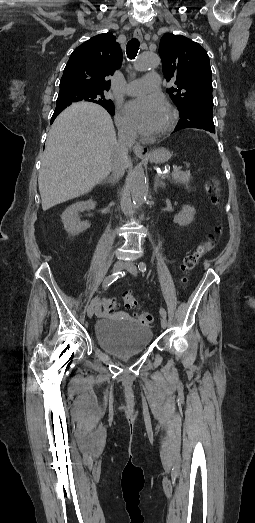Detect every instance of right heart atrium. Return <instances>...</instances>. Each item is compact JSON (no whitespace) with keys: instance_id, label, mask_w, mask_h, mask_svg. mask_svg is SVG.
<instances>
[{"instance_id":"right-heart-atrium-1","label":"right heart atrium","mask_w":255,"mask_h":523,"mask_svg":"<svg viewBox=\"0 0 255 523\" xmlns=\"http://www.w3.org/2000/svg\"><path fill=\"white\" fill-rule=\"evenodd\" d=\"M115 119L117 127L119 131L122 133V135H124L125 137H133L135 135L134 129L126 120L120 109L117 110Z\"/></svg>"}]
</instances>
